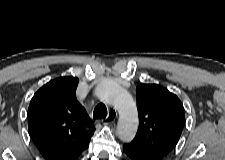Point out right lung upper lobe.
I'll use <instances>...</instances> for the list:
<instances>
[{"label": "right lung upper lobe", "instance_id": "cb5924a9", "mask_svg": "<svg viewBox=\"0 0 225 160\" xmlns=\"http://www.w3.org/2000/svg\"><path fill=\"white\" fill-rule=\"evenodd\" d=\"M78 78L60 77L42 86L28 108L29 134L47 160H77L88 148L94 122L76 99Z\"/></svg>", "mask_w": 225, "mask_h": 160}]
</instances>
